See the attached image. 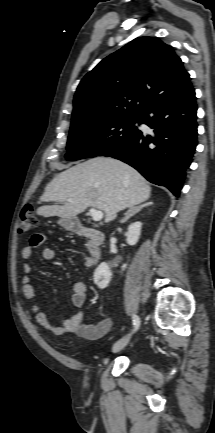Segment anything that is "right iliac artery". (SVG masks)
<instances>
[{"label":"right iliac artery","instance_id":"obj_1","mask_svg":"<svg viewBox=\"0 0 215 433\" xmlns=\"http://www.w3.org/2000/svg\"><path fill=\"white\" fill-rule=\"evenodd\" d=\"M132 318H133V325H134V327H135V330H137L138 327H139V325H140L139 317H138L137 315L134 314V315L132 316Z\"/></svg>","mask_w":215,"mask_h":433}]
</instances>
